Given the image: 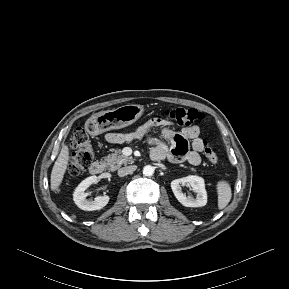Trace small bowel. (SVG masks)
<instances>
[{
    "instance_id": "small-bowel-1",
    "label": "small bowel",
    "mask_w": 289,
    "mask_h": 289,
    "mask_svg": "<svg viewBox=\"0 0 289 289\" xmlns=\"http://www.w3.org/2000/svg\"><path fill=\"white\" fill-rule=\"evenodd\" d=\"M156 129H160L162 135L170 141V149L164 141L150 136ZM199 135L198 126L186 127L181 133H177L172 131L165 121L151 119L127 134L110 133L106 139L110 143H122L147 137L153 146L151 155L158 156L159 160L167 157L173 163L188 161L192 165H198L201 162L200 154L205 149V141ZM189 140L191 148H189Z\"/></svg>"
}]
</instances>
